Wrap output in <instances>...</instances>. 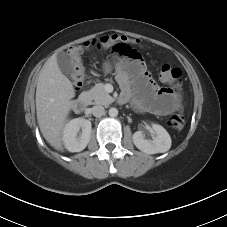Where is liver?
I'll list each match as a JSON object with an SVG mask.
<instances>
[{"instance_id":"liver-1","label":"liver","mask_w":227,"mask_h":227,"mask_svg":"<svg viewBox=\"0 0 227 227\" xmlns=\"http://www.w3.org/2000/svg\"><path fill=\"white\" fill-rule=\"evenodd\" d=\"M74 96L75 90L71 81L61 72L56 56L52 55L39 73L36 113L43 137L58 151H64L62 131Z\"/></svg>"}]
</instances>
